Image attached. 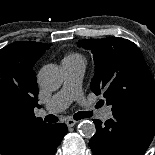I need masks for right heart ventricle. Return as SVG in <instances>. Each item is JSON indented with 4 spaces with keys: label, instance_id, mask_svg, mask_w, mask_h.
<instances>
[{
    "label": "right heart ventricle",
    "instance_id": "right-heart-ventricle-1",
    "mask_svg": "<svg viewBox=\"0 0 155 155\" xmlns=\"http://www.w3.org/2000/svg\"><path fill=\"white\" fill-rule=\"evenodd\" d=\"M64 59L83 60V57L79 53H71L67 55Z\"/></svg>",
    "mask_w": 155,
    "mask_h": 155
}]
</instances>
